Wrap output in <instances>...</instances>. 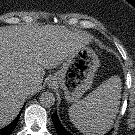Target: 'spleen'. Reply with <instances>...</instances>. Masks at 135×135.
I'll use <instances>...</instances> for the list:
<instances>
[{
  "mask_svg": "<svg viewBox=\"0 0 135 135\" xmlns=\"http://www.w3.org/2000/svg\"><path fill=\"white\" fill-rule=\"evenodd\" d=\"M121 79L111 76L77 104L69 107L72 124L84 135H104L119 112Z\"/></svg>",
  "mask_w": 135,
  "mask_h": 135,
  "instance_id": "spleen-1",
  "label": "spleen"
}]
</instances>
